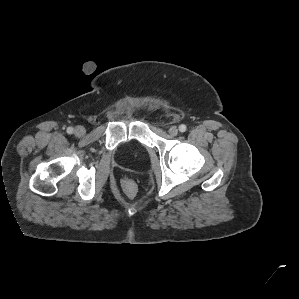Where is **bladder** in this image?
<instances>
[{
    "mask_svg": "<svg viewBox=\"0 0 299 299\" xmlns=\"http://www.w3.org/2000/svg\"><path fill=\"white\" fill-rule=\"evenodd\" d=\"M123 161L128 165H136L147 155V149L137 141H128L119 148Z\"/></svg>",
    "mask_w": 299,
    "mask_h": 299,
    "instance_id": "31cf9c89",
    "label": "bladder"
}]
</instances>
